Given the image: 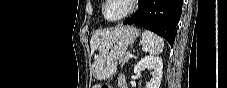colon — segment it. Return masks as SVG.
Here are the masks:
<instances>
[{"mask_svg":"<svg viewBox=\"0 0 227 88\" xmlns=\"http://www.w3.org/2000/svg\"><path fill=\"white\" fill-rule=\"evenodd\" d=\"M95 88H108V86L107 85H97V86H95Z\"/></svg>","mask_w":227,"mask_h":88,"instance_id":"1","label":"colon"}]
</instances>
